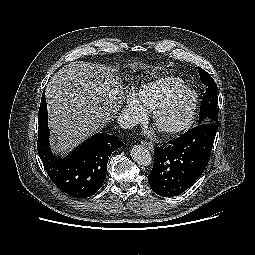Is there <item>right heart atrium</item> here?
I'll return each mask as SVG.
<instances>
[{
  "label": "right heart atrium",
  "mask_w": 255,
  "mask_h": 255,
  "mask_svg": "<svg viewBox=\"0 0 255 255\" xmlns=\"http://www.w3.org/2000/svg\"><path fill=\"white\" fill-rule=\"evenodd\" d=\"M123 112L125 114V120L129 125L142 122L146 117L144 110L132 94L125 96Z\"/></svg>",
  "instance_id": "d8ad5b80"
}]
</instances>
